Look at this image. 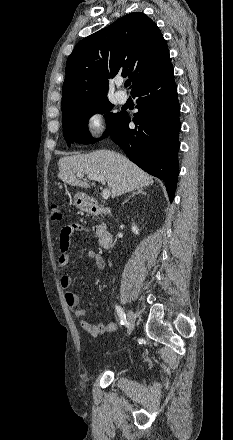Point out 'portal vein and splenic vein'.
Returning <instances> with one entry per match:
<instances>
[{"label": "portal vein and splenic vein", "instance_id": "obj_1", "mask_svg": "<svg viewBox=\"0 0 233 440\" xmlns=\"http://www.w3.org/2000/svg\"><path fill=\"white\" fill-rule=\"evenodd\" d=\"M78 176H79V177H83L84 175H83V174H79ZM87 177H88V179H90V180L99 181V182H101L103 185L106 184V182H105V178H104L103 176L89 174V175H87ZM102 197H103V199H108V198L110 197V189H108V188H104L103 191H102Z\"/></svg>", "mask_w": 233, "mask_h": 440}]
</instances>
